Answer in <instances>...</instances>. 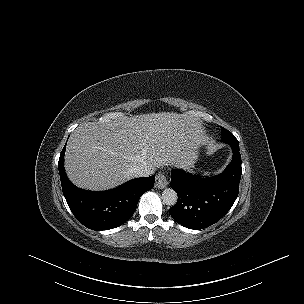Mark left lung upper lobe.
<instances>
[{"instance_id":"1","label":"left lung upper lobe","mask_w":304,"mask_h":304,"mask_svg":"<svg viewBox=\"0 0 304 304\" xmlns=\"http://www.w3.org/2000/svg\"><path fill=\"white\" fill-rule=\"evenodd\" d=\"M221 133H222V141L224 143H238V140L235 138V136L231 132L224 129L223 127H221Z\"/></svg>"}]
</instances>
